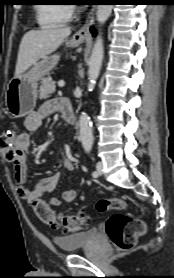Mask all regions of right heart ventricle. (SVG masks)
<instances>
[{
  "mask_svg": "<svg viewBox=\"0 0 174 278\" xmlns=\"http://www.w3.org/2000/svg\"><path fill=\"white\" fill-rule=\"evenodd\" d=\"M72 10L66 4L45 3L36 7V18L39 26L50 29L66 24L71 20Z\"/></svg>",
  "mask_w": 174,
  "mask_h": 278,
  "instance_id": "obj_1",
  "label": "right heart ventricle"
}]
</instances>
